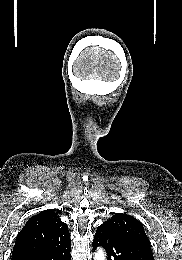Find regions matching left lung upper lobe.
I'll list each match as a JSON object with an SVG mask.
<instances>
[{
    "mask_svg": "<svg viewBox=\"0 0 182 260\" xmlns=\"http://www.w3.org/2000/svg\"><path fill=\"white\" fill-rule=\"evenodd\" d=\"M99 227L116 230L150 245L142 223L130 215L117 213Z\"/></svg>",
    "mask_w": 182,
    "mask_h": 260,
    "instance_id": "5c2ea615",
    "label": "left lung upper lobe"
}]
</instances>
